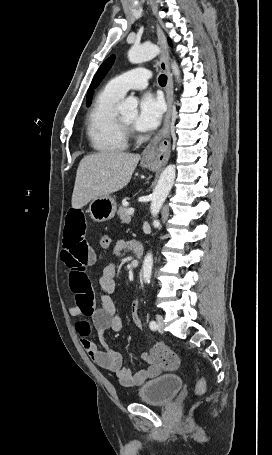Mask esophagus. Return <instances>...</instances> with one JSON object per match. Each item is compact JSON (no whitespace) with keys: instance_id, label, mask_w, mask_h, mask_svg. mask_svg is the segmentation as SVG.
Here are the masks:
<instances>
[{"instance_id":"1","label":"esophagus","mask_w":272,"mask_h":455,"mask_svg":"<svg viewBox=\"0 0 272 455\" xmlns=\"http://www.w3.org/2000/svg\"><path fill=\"white\" fill-rule=\"evenodd\" d=\"M158 42L162 48V55L160 57V68L167 75V86H166V99H167V113L165 115L164 124L159 133L151 140V142L144 149L142 158L145 161H149L156 166H163L167 163L170 157L171 144L169 141L170 133V118L172 111L173 102V80L170 72L168 63V45L165 35L157 25Z\"/></svg>"}]
</instances>
